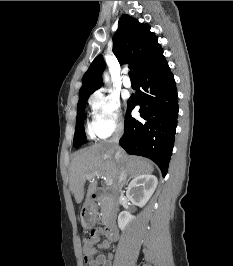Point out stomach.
Returning a JSON list of instances; mask_svg holds the SVG:
<instances>
[{
	"label": "stomach",
	"instance_id": "stomach-1",
	"mask_svg": "<svg viewBox=\"0 0 233 266\" xmlns=\"http://www.w3.org/2000/svg\"><path fill=\"white\" fill-rule=\"evenodd\" d=\"M96 221V213L92 209H87L82 217L84 227H91Z\"/></svg>",
	"mask_w": 233,
	"mask_h": 266
}]
</instances>
